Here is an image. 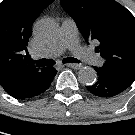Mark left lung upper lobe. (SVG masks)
Wrapping results in <instances>:
<instances>
[{
  "label": "left lung upper lobe",
  "instance_id": "1",
  "mask_svg": "<svg viewBox=\"0 0 135 135\" xmlns=\"http://www.w3.org/2000/svg\"><path fill=\"white\" fill-rule=\"evenodd\" d=\"M84 39L95 40L105 68L135 80V17L115 0H61Z\"/></svg>",
  "mask_w": 135,
  "mask_h": 135
}]
</instances>
